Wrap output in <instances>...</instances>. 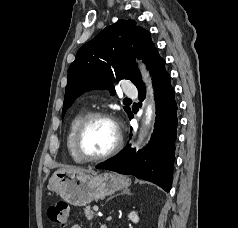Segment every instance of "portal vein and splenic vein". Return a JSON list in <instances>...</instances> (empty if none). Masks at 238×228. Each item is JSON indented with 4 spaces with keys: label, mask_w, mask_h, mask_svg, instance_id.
Returning <instances> with one entry per match:
<instances>
[{
    "label": "portal vein and splenic vein",
    "mask_w": 238,
    "mask_h": 228,
    "mask_svg": "<svg viewBox=\"0 0 238 228\" xmlns=\"http://www.w3.org/2000/svg\"><path fill=\"white\" fill-rule=\"evenodd\" d=\"M93 209H94V211H96V212L98 211V207H97V206H94Z\"/></svg>",
    "instance_id": "portal-vein-and-splenic-vein-1"
}]
</instances>
